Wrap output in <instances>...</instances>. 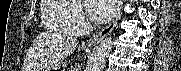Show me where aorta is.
I'll return each instance as SVG.
<instances>
[{"mask_svg":"<svg viewBox=\"0 0 181 71\" xmlns=\"http://www.w3.org/2000/svg\"><path fill=\"white\" fill-rule=\"evenodd\" d=\"M112 46V38L102 40L90 57L86 71H103Z\"/></svg>","mask_w":181,"mask_h":71,"instance_id":"1","label":"aorta"}]
</instances>
